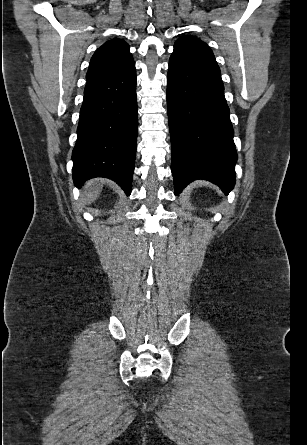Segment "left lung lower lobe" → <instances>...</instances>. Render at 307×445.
<instances>
[{"mask_svg":"<svg viewBox=\"0 0 307 445\" xmlns=\"http://www.w3.org/2000/svg\"><path fill=\"white\" fill-rule=\"evenodd\" d=\"M167 111L175 194L196 179L228 194L235 184L237 153L223 83L171 56Z\"/></svg>","mask_w":307,"mask_h":445,"instance_id":"1","label":"left lung lower lobe"}]
</instances>
